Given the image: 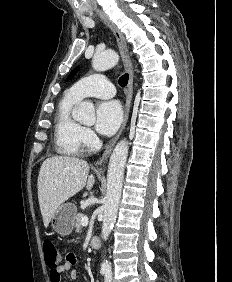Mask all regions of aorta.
<instances>
[{"instance_id": "aorta-1", "label": "aorta", "mask_w": 232, "mask_h": 282, "mask_svg": "<svg viewBox=\"0 0 232 282\" xmlns=\"http://www.w3.org/2000/svg\"><path fill=\"white\" fill-rule=\"evenodd\" d=\"M119 60V55L113 50H98L92 59V67L96 71H105L114 67ZM74 119L85 124L95 121V110L93 103L82 102L73 115ZM128 155V142L124 139L118 142L114 148L108 166L107 190L103 205L102 239L107 240L118 211L121 198L124 169ZM101 272L111 273V265L107 260L101 264Z\"/></svg>"}]
</instances>
